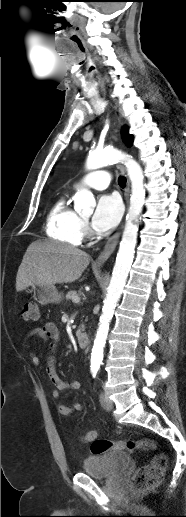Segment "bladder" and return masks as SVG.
<instances>
[{"instance_id": "1", "label": "bladder", "mask_w": 186, "mask_h": 517, "mask_svg": "<svg viewBox=\"0 0 186 517\" xmlns=\"http://www.w3.org/2000/svg\"><path fill=\"white\" fill-rule=\"evenodd\" d=\"M132 457L123 451H110L94 455L83 462V472L98 479L121 475L130 465Z\"/></svg>"}]
</instances>
